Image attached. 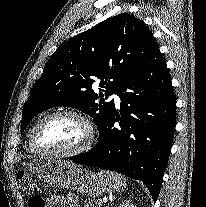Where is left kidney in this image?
<instances>
[{
    "label": "left kidney",
    "mask_w": 206,
    "mask_h": 207,
    "mask_svg": "<svg viewBox=\"0 0 206 207\" xmlns=\"http://www.w3.org/2000/svg\"><path fill=\"white\" fill-rule=\"evenodd\" d=\"M119 207H135V206L131 204L130 201H126L120 204Z\"/></svg>",
    "instance_id": "1"
}]
</instances>
